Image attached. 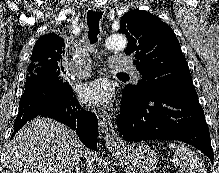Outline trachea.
Segmentation results:
<instances>
[{"label": "trachea", "instance_id": "obj_1", "mask_svg": "<svg viewBox=\"0 0 219 173\" xmlns=\"http://www.w3.org/2000/svg\"><path fill=\"white\" fill-rule=\"evenodd\" d=\"M103 12L101 11H88L87 13V25H88V39L90 44H95L98 41V34L100 33V19ZM125 75L124 73H118Z\"/></svg>", "mask_w": 219, "mask_h": 173}]
</instances>
